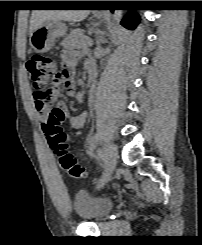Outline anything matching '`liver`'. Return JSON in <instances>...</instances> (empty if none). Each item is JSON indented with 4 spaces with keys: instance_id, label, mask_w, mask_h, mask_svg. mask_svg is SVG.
I'll use <instances>...</instances> for the list:
<instances>
[{
    "instance_id": "1",
    "label": "liver",
    "mask_w": 202,
    "mask_h": 245,
    "mask_svg": "<svg viewBox=\"0 0 202 245\" xmlns=\"http://www.w3.org/2000/svg\"><path fill=\"white\" fill-rule=\"evenodd\" d=\"M90 10H33L30 20L29 34L41 24L49 20L80 22L87 18Z\"/></svg>"
}]
</instances>
